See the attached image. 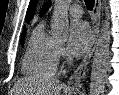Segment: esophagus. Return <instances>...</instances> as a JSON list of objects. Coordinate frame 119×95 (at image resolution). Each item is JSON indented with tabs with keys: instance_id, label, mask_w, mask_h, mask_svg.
Here are the masks:
<instances>
[{
	"instance_id": "34e87169",
	"label": "esophagus",
	"mask_w": 119,
	"mask_h": 95,
	"mask_svg": "<svg viewBox=\"0 0 119 95\" xmlns=\"http://www.w3.org/2000/svg\"><path fill=\"white\" fill-rule=\"evenodd\" d=\"M100 11L101 0H95L93 8V27L91 43L80 65L76 68V70L73 72V74L70 76L67 82V87L72 90L79 91L82 88L83 82L86 78L91 58L93 56L98 42L100 31Z\"/></svg>"
}]
</instances>
